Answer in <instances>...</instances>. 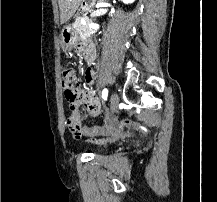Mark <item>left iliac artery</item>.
<instances>
[{
	"label": "left iliac artery",
	"mask_w": 217,
	"mask_h": 202,
	"mask_svg": "<svg viewBox=\"0 0 217 202\" xmlns=\"http://www.w3.org/2000/svg\"><path fill=\"white\" fill-rule=\"evenodd\" d=\"M107 96H108V90L105 88V89H103V91H102V98H103L104 100H107Z\"/></svg>",
	"instance_id": "left-iliac-artery-1"
}]
</instances>
